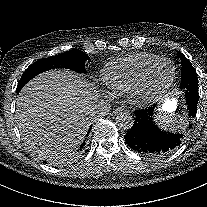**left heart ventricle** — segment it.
Listing matches in <instances>:
<instances>
[{
	"label": "left heart ventricle",
	"mask_w": 207,
	"mask_h": 207,
	"mask_svg": "<svg viewBox=\"0 0 207 207\" xmlns=\"http://www.w3.org/2000/svg\"><path fill=\"white\" fill-rule=\"evenodd\" d=\"M173 73V66L164 62L160 64L149 76V88L152 92L162 90L169 82Z\"/></svg>",
	"instance_id": "left-heart-ventricle-1"
}]
</instances>
